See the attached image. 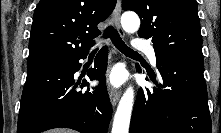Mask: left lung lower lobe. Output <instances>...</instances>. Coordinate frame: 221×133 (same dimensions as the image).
<instances>
[{"label": "left lung lower lobe", "instance_id": "left-lung-lower-lobe-1", "mask_svg": "<svg viewBox=\"0 0 221 133\" xmlns=\"http://www.w3.org/2000/svg\"><path fill=\"white\" fill-rule=\"evenodd\" d=\"M155 53L166 89H139L130 133H212L203 61Z\"/></svg>", "mask_w": 221, "mask_h": 133}]
</instances>
